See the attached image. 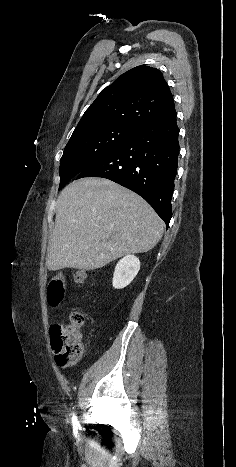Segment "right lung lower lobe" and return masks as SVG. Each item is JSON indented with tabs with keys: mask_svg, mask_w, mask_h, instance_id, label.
<instances>
[{
	"mask_svg": "<svg viewBox=\"0 0 236 467\" xmlns=\"http://www.w3.org/2000/svg\"><path fill=\"white\" fill-rule=\"evenodd\" d=\"M176 111L138 129L77 175L110 179L143 197L169 224L179 153Z\"/></svg>",
	"mask_w": 236,
	"mask_h": 467,
	"instance_id": "1",
	"label": "right lung lower lobe"
}]
</instances>
